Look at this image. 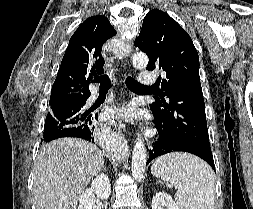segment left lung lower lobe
Returning <instances> with one entry per match:
<instances>
[{
	"instance_id": "0a47b994",
	"label": "left lung lower lobe",
	"mask_w": 253,
	"mask_h": 209,
	"mask_svg": "<svg viewBox=\"0 0 253 209\" xmlns=\"http://www.w3.org/2000/svg\"><path fill=\"white\" fill-rule=\"evenodd\" d=\"M156 128L158 130V140L154 143L153 150H150L149 159L146 163V165L153 160L154 158L170 153V152H188L192 153L203 160H205L214 170V160L212 156L211 149L205 148L201 145H198L194 142L187 141V140H181V139H175L171 138L169 136H166L163 134L161 128L159 125L154 121Z\"/></svg>"
}]
</instances>
